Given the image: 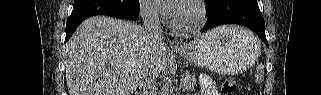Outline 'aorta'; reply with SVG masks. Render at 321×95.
Here are the masks:
<instances>
[{
	"label": "aorta",
	"instance_id": "762f6f07",
	"mask_svg": "<svg viewBox=\"0 0 321 95\" xmlns=\"http://www.w3.org/2000/svg\"><path fill=\"white\" fill-rule=\"evenodd\" d=\"M161 95H173V88L170 83H166L163 86Z\"/></svg>",
	"mask_w": 321,
	"mask_h": 95
}]
</instances>
